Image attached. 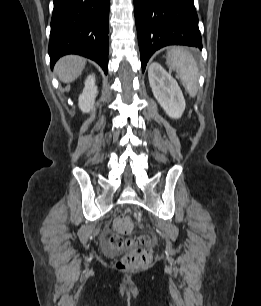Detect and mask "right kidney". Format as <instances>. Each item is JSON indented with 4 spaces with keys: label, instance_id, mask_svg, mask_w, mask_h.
<instances>
[{
    "label": "right kidney",
    "instance_id": "obj_1",
    "mask_svg": "<svg viewBox=\"0 0 261 306\" xmlns=\"http://www.w3.org/2000/svg\"><path fill=\"white\" fill-rule=\"evenodd\" d=\"M98 94L97 86L95 85V75L91 74L85 80V87L82 94L79 96V108L82 112H89L95 103V98Z\"/></svg>",
    "mask_w": 261,
    "mask_h": 306
}]
</instances>
